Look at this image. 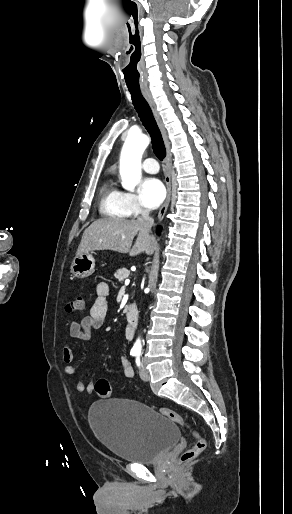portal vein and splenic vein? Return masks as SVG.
Wrapping results in <instances>:
<instances>
[{
    "instance_id": "portal-vein-and-splenic-vein-1",
    "label": "portal vein and splenic vein",
    "mask_w": 292,
    "mask_h": 514,
    "mask_svg": "<svg viewBox=\"0 0 292 514\" xmlns=\"http://www.w3.org/2000/svg\"><path fill=\"white\" fill-rule=\"evenodd\" d=\"M130 280H125V286H128Z\"/></svg>"
}]
</instances>
